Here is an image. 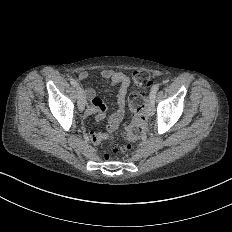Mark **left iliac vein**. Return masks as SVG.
Returning a JSON list of instances; mask_svg holds the SVG:
<instances>
[{"label": "left iliac vein", "mask_w": 232, "mask_h": 232, "mask_svg": "<svg viewBox=\"0 0 232 232\" xmlns=\"http://www.w3.org/2000/svg\"><path fill=\"white\" fill-rule=\"evenodd\" d=\"M147 115L148 116L154 115L153 98H150V105L147 106Z\"/></svg>", "instance_id": "obj_1"}]
</instances>
